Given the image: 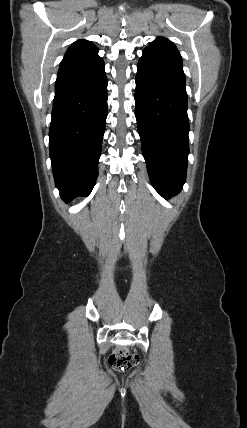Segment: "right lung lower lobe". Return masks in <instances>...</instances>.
Segmentation results:
<instances>
[{
    "label": "right lung lower lobe",
    "instance_id": "right-lung-lower-lobe-1",
    "mask_svg": "<svg viewBox=\"0 0 247 428\" xmlns=\"http://www.w3.org/2000/svg\"><path fill=\"white\" fill-rule=\"evenodd\" d=\"M104 62L92 60L58 71L50 124V158L56 187L66 202L88 196L98 176L107 117Z\"/></svg>",
    "mask_w": 247,
    "mask_h": 428
}]
</instances>
